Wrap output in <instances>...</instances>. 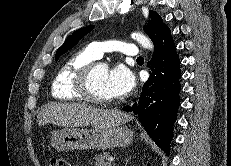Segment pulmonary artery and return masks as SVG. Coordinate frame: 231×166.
<instances>
[{
	"mask_svg": "<svg viewBox=\"0 0 231 166\" xmlns=\"http://www.w3.org/2000/svg\"><path fill=\"white\" fill-rule=\"evenodd\" d=\"M88 47L96 58H101L104 53L112 51H119L130 57L139 56V50L135 44L119 40L92 42Z\"/></svg>",
	"mask_w": 231,
	"mask_h": 166,
	"instance_id": "pulmonary-artery-1",
	"label": "pulmonary artery"
}]
</instances>
